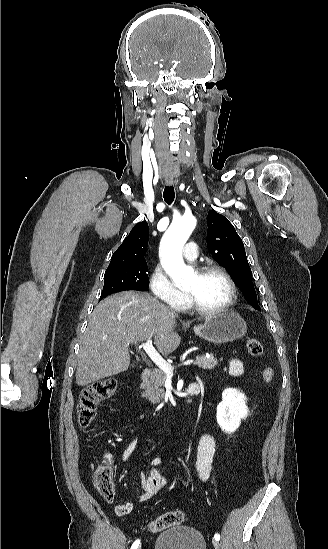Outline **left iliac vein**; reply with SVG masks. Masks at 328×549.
Here are the masks:
<instances>
[{"instance_id":"left-iliac-vein-1","label":"left iliac vein","mask_w":328,"mask_h":549,"mask_svg":"<svg viewBox=\"0 0 328 549\" xmlns=\"http://www.w3.org/2000/svg\"><path fill=\"white\" fill-rule=\"evenodd\" d=\"M212 544H213V546L215 547V549H219V542H218V540H215V539H214V540L212 541Z\"/></svg>"}]
</instances>
